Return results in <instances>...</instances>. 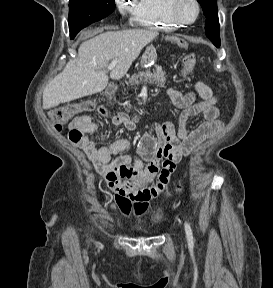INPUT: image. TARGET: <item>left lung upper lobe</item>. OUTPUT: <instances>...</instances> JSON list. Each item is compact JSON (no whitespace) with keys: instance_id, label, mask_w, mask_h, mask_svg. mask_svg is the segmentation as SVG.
<instances>
[{"instance_id":"obj_1","label":"left lung upper lobe","mask_w":273,"mask_h":288,"mask_svg":"<svg viewBox=\"0 0 273 288\" xmlns=\"http://www.w3.org/2000/svg\"><path fill=\"white\" fill-rule=\"evenodd\" d=\"M206 17L205 33L213 44L220 43V26L218 21L217 0H198Z\"/></svg>"}]
</instances>
